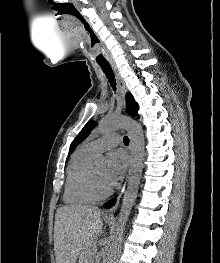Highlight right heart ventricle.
Masks as SVG:
<instances>
[{"label":"right heart ventricle","mask_w":220,"mask_h":263,"mask_svg":"<svg viewBox=\"0 0 220 263\" xmlns=\"http://www.w3.org/2000/svg\"><path fill=\"white\" fill-rule=\"evenodd\" d=\"M95 154L86 146L79 148L72 156L66 172L64 202L68 205H84L95 199L86 189V176Z\"/></svg>","instance_id":"right-heart-ventricle-1"}]
</instances>
